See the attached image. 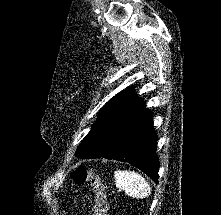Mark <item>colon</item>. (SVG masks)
I'll return each mask as SVG.
<instances>
[{
	"label": "colon",
	"mask_w": 221,
	"mask_h": 215,
	"mask_svg": "<svg viewBox=\"0 0 221 215\" xmlns=\"http://www.w3.org/2000/svg\"><path fill=\"white\" fill-rule=\"evenodd\" d=\"M72 179L78 185L87 184L91 187L93 192L91 215H107L108 205L100 176L85 166H79L73 171Z\"/></svg>",
	"instance_id": "1"
}]
</instances>
